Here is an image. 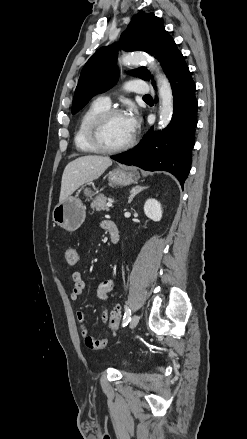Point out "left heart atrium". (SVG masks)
<instances>
[{"label":"left heart atrium","instance_id":"39dd6f15","mask_svg":"<svg viewBox=\"0 0 247 439\" xmlns=\"http://www.w3.org/2000/svg\"><path fill=\"white\" fill-rule=\"evenodd\" d=\"M125 120L130 133L133 135L138 127V117L134 111L125 116Z\"/></svg>","mask_w":247,"mask_h":439}]
</instances>
